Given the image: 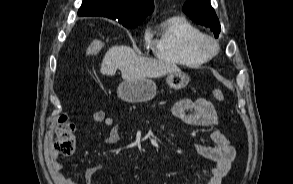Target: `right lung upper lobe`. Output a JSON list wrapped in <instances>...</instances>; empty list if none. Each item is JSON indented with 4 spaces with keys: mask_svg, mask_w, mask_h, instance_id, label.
I'll list each match as a JSON object with an SVG mask.
<instances>
[{
    "mask_svg": "<svg viewBox=\"0 0 293 184\" xmlns=\"http://www.w3.org/2000/svg\"><path fill=\"white\" fill-rule=\"evenodd\" d=\"M153 9V0H83L78 15L107 17L127 23L143 21Z\"/></svg>",
    "mask_w": 293,
    "mask_h": 184,
    "instance_id": "cb5924a9",
    "label": "right lung upper lobe"
}]
</instances>
